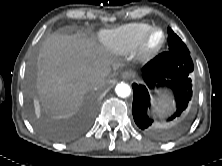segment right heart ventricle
<instances>
[{
	"instance_id": "obj_1",
	"label": "right heart ventricle",
	"mask_w": 222,
	"mask_h": 166,
	"mask_svg": "<svg viewBox=\"0 0 222 166\" xmlns=\"http://www.w3.org/2000/svg\"><path fill=\"white\" fill-rule=\"evenodd\" d=\"M151 27L148 23H130L100 34L102 42L112 52L126 54L136 49L144 33Z\"/></svg>"
}]
</instances>
